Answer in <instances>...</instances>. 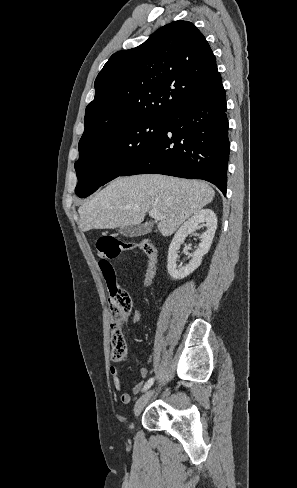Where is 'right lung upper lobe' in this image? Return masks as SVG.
I'll list each match as a JSON object with an SVG mask.
<instances>
[{
    "instance_id": "right-lung-upper-lobe-1",
    "label": "right lung upper lobe",
    "mask_w": 297,
    "mask_h": 488,
    "mask_svg": "<svg viewBox=\"0 0 297 488\" xmlns=\"http://www.w3.org/2000/svg\"><path fill=\"white\" fill-rule=\"evenodd\" d=\"M220 82L203 34L191 22L174 21L140 46L110 57L95 80L80 141L96 140L139 120L167 119Z\"/></svg>"
}]
</instances>
